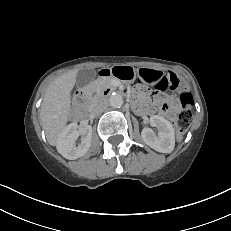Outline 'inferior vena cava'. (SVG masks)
<instances>
[{
    "label": "inferior vena cava",
    "mask_w": 231,
    "mask_h": 231,
    "mask_svg": "<svg viewBox=\"0 0 231 231\" xmlns=\"http://www.w3.org/2000/svg\"><path fill=\"white\" fill-rule=\"evenodd\" d=\"M105 108H106L105 104L97 106L93 111V115H98V114L102 113L105 110Z\"/></svg>",
    "instance_id": "1"
}]
</instances>
